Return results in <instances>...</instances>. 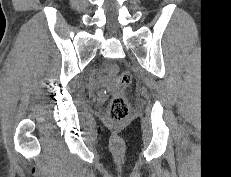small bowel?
<instances>
[{"label": "small bowel", "mask_w": 231, "mask_h": 177, "mask_svg": "<svg viewBox=\"0 0 231 177\" xmlns=\"http://www.w3.org/2000/svg\"><path fill=\"white\" fill-rule=\"evenodd\" d=\"M117 71H118V67L116 65H113V64L108 65L106 67V72L107 73H106V75H104L103 77H101L100 84L103 85V86L106 85V84H108V82L110 81L111 77L113 75H115L117 73Z\"/></svg>", "instance_id": "c3829d8e"}]
</instances>
